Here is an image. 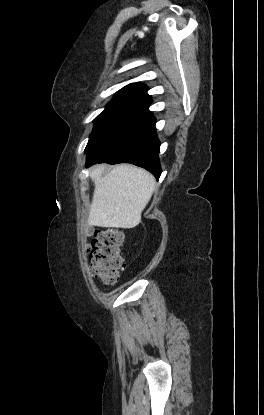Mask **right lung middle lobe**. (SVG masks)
Segmentation results:
<instances>
[{"mask_svg": "<svg viewBox=\"0 0 264 415\" xmlns=\"http://www.w3.org/2000/svg\"><path fill=\"white\" fill-rule=\"evenodd\" d=\"M142 102L139 99L114 96L112 101L106 106V109L95 118L94 128L90 134L86 149L92 146L114 123Z\"/></svg>", "mask_w": 264, "mask_h": 415, "instance_id": "dd1d6c3e", "label": "right lung middle lobe"}]
</instances>
